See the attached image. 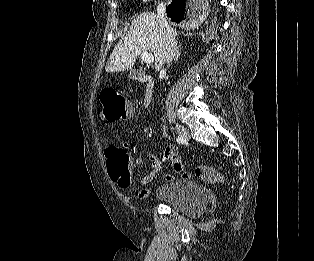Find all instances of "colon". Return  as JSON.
<instances>
[{
    "label": "colon",
    "mask_w": 314,
    "mask_h": 261,
    "mask_svg": "<svg viewBox=\"0 0 314 261\" xmlns=\"http://www.w3.org/2000/svg\"><path fill=\"white\" fill-rule=\"evenodd\" d=\"M101 104V117L104 121L113 123L125 120L131 114V107L123 94L115 88L104 89L99 95ZM106 169L108 175L119 185L126 187L130 184V169L132 161L129 153L124 148L109 147L105 151ZM195 176L206 183L222 182L224 176L216 169L198 165L194 169ZM189 177L188 173L183 174Z\"/></svg>",
    "instance_id": "obj_1"
}]
</instances>
